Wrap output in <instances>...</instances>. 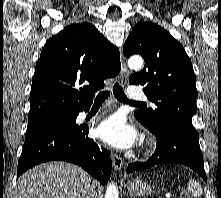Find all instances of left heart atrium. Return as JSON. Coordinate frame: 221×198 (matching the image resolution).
I'll return each instance as SVG.
<instances>
[{
  "instance_id": "left-heart-atrium-1",
  "label": "left heart atrium",
  "mask_w": 221,
  "mask_h": 198,
  "mask_svg": "<svg viewBox=\"0 0 221 198\" xmlns=\"http://www.w3.org/2000/svg\"><path fill=\"white\" fill-rule=\"evenodd\" d=\"M96 134L102 141L118 149L131 147L136 140L135 129L121 115H113L104 120L98 126Z\"/></svg>"
}]
</instances>
